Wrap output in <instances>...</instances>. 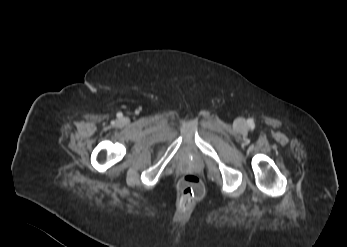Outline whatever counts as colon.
<instances>
[{
    "instance_id": "colon-1",
    "label": "colon",
    "mask_w": 347,
    "mask_h": 247,
    "mask_svg": "<svg viewBox=\"0 0 347 247\" xmlns=\"http://www.w3.org/2000/svg\"><path fill=\"white\" fill-rule=\"evenodd\" d=\"M178 192L185 201H191L201 198L204 189L198 176L186 174L182 176L178 183Z\"/></svg>"
}]
</instances>
